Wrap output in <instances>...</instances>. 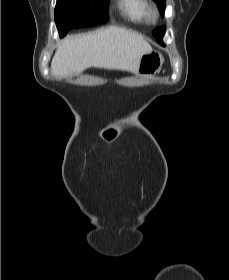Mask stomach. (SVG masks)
Returning <instances> with one entry per match:
<instances>
[{
	"label": "stomach",
	"instance_id": "1",
	"mask_svg": "<svg viewBox=\"0 0 229 280\" xmlns=\"http://www.w3.org/2000/svg\"><path fill=\"white\" fill-rule=\"evenodd\" d=\"M164 58L158 51H151L144 54L139 62L137 75L142 77H151L160 72Z\"/></svg>",
	"mask_w": 229,
	"mask_h": 280
}]
</instances>
